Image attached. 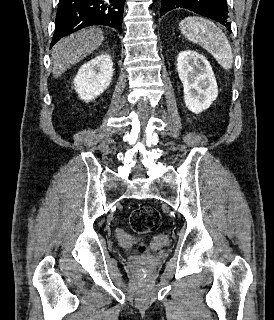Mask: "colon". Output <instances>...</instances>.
<instances>
[{"label": "colon", "instance_id": "colon-1", "mask_svg": "<svg viewBox=\"0 0 274 320\" xmlns=\"http://www.w3.org/2000/svg\"><path fill=\"white\" fill-rule=\"evenodd\" d=\"M161 222V214L150 205L137 206L129 216L130 228L135 234H150Z\"/></svg>", "mask_w": 274, "mask_h": 320}]
</instances>
